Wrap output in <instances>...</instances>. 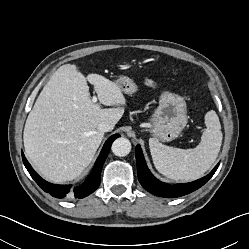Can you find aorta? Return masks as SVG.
<instances>
[{
    "mask_svg": "<svg viewBox=\"0 0 249 249\" xmlns=\"http://www.w3.org/2000/svg\"><path fill=\"white\" fill-rule=\"evenodd\" d=\"M112 152L119 157L127 156L131 151V143L127 138L120 137L112 143Z\"/></svg>",
    "mask_w": 249,
    "mask_h": 249,
    "instance_id": "762f6f07",
    "label": "aorta"
}]
</instances>
